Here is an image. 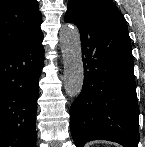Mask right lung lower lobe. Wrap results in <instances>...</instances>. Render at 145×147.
<instances>
[{"mask_svg": "<svg viewBox=\"0 0 145 147\" xmlns=\"http://www.w3.org/2000/svg\"><path fill=\"white\" fill-rule=\"evenodd\" d=\"M43 34L0 50V147H35Z\"/></svg>", "mask_w": 145, "mask_h": 147, "instance_id": "obj_1", "label": "right lung lower lobe"}]
</instances>
